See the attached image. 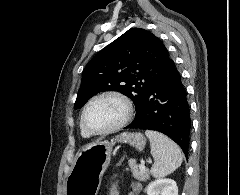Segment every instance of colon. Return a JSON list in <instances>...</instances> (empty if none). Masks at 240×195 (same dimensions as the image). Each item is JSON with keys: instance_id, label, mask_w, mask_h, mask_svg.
<instances>
[{"instance_id": "5ec220e1", "label": "colon", "mask_w": 240, "mask_h": 195, "mask_svg": "<svg viewBox=\"0 0 240 195\" xmlns=\"http://www.w3.org/2000/svg\"><path fill=\"white\" fill-rule=\"evenodd\" d=\"M110 195H118V185L116 182L112 184Z\"/></svg>"}]
</instances>
